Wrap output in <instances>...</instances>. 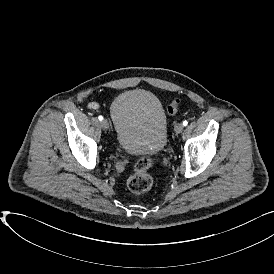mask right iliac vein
Listing matches in <instances>:
<instances>
[{"label":"right iliac vein","mask_w":274,"mask_h":274,"mask_svg":"<svg viewBox=\"0 0 274 274\" xmlns=\"http://www.w3.org/2000/svg\"><path fill=\"white\" fill-rule=\"evenodd\" d=\"M101 127H102L103 130H108L109 129V122L106 119L102 120L101 121Z\"/></svg>","instance_id":"63e3f726"}]
</instances>
